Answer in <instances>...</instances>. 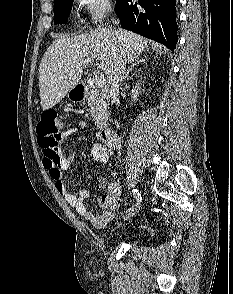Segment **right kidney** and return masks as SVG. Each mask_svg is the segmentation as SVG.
I'll return each instance as SVG.
<instances>
[{"mask_svg": "<svg viewBox=\"0 0 233 294\" xmlns=\"http://www.w3.org/2000/svg\"><path fill=\"white\" fill-rule=\"evenodd\" d=\"M140 83H136L135 87H133V89L131 90V93H132V98L134 101H137V97L139 95V92H140V87H139Z\"/></svg>", "mask_w": 233, "mask_h": 294, "instance_id": "1", "label": "right kidney"}]
</instances>
